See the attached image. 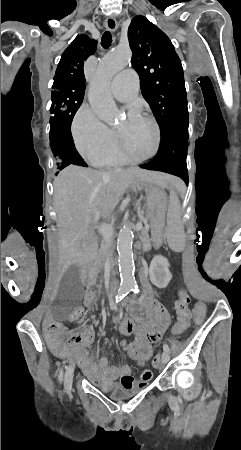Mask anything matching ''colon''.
Wrapping results in <instances>:
<instances>
[{"label": "colon", "mask_w": 241, "mask_h": 450, "mask_svg": "<svg viewBox=\"0 0 241 450\" xmlns=\"http://www.w3.org/2000/svg\"><path fill=\"white\" fill-rule=\"evenodd\" d=\"M177 306H176V313L179 314L180 318L179 321H174L172 324V327L174 330H182L184 328V326H189L190 325V321L192 320V314L193 316L196 318L197 323H201L203 317L205 316V309H204V304L202 302H198L194 305L193 307V313L190 312L188 303L189 299L188 297L182 293L179 297V299L176 301ZM84 315V309L82 307H77L75 309L74 314L72 315L73 318L71 319L73 322L76 320L78 321L80 318ZM163 355L162 351H159L157 354H155L154 356V362H153V367H158V362L160 360V357ZM135 364L139 363L138 359L134 360Z\"/></svg>", "instance_id": "colon-1"}]
</instances>
